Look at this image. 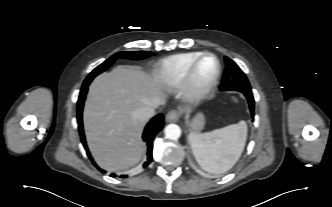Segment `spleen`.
<instances>
[{
	"label": "spleen",
	"instance_id": "obj_1",
	"mask_svg": "<svg viewBox=\"0 0 332 207\" xmlns=\"http://www.w3.org/2000/svg\"><path fill=\"white\" fill-rule=\"evenodd\" d=\"M247 138L245 121L213 130L189 134L195 159L202 169L221 174L230 170L240 158Z\"/></svg>",
	"mask_w": 332,
	"mask_h": 207
}]
</instances>
